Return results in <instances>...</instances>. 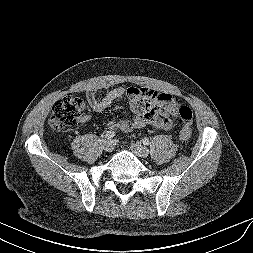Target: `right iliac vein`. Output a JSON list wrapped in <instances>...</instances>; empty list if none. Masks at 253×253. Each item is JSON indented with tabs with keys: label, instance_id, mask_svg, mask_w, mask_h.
I'll return each instance as SVG.
<instances>
[{
	"label": "right iliac vein",
	"instance_id": "1",
	"mask_svg": "<svg viewBox=\"0 0 253 253\" xmlns=\"http://www.w3.org/2000/svg\"><path fill=\"white\" fill-rule=\"evenodd\" d=\"M103 148L106 152H112L114 149V143L112 140H104L103 141Z\"/></svg>",
	"mask_w": 253,
	"mask_h": 253
}]
</instances>
